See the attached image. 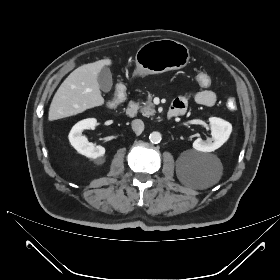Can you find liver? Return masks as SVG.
Here are the masks:
<instances>
[{"label":"liver","mask_w":280,"mask_h":280,"mask_svg":"<svg viewBox=\"0 0 280 280\" xmlns=\"http://www.w3.org/2000/svg\"><path fill=\"white\" fill-rule=\"evenodd\" d=\"M111 64V59H103L84 64L71 72L52 99L49 121L70 117L103 105L104 98L97 77L103 67Z\"/></svg>","instance_id":"1"}]
</instances>
